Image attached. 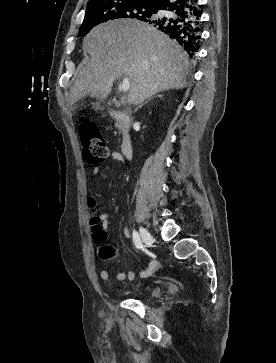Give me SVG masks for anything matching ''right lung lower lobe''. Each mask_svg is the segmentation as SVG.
Masks as SVG:
<instances>
[{"label": "right lung lower lobe", "instance_id": "right-lung-lower-lobe-1", "mask_svg": "<svg viewBox=\"0 0 276 363\" xmlns=\"http://www.w3.org/2000/svg\"><path fill=\"white\" fill-rule=\"evenodd\" d=\"M158 10L165 11V15L144 21L175 39L189 56H195L201 38L198 0H165L157 7Z\"/></svg>", "mask_w": 276, "mask_h": 363}]
</instances>
